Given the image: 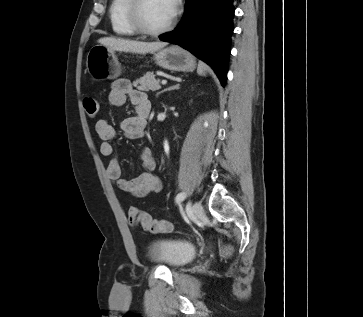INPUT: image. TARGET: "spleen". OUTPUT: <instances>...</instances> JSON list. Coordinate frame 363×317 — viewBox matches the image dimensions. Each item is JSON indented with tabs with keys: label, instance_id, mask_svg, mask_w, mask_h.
Masks as SVG:
<instances>
[{
	"label": "spleen",
	"instance_id": "obj_1",
	"mask_svg": "<svg viewBox=\"0 0 363 317\" xmlns=\"http://www.w3.org/2000/svg\"><path fill=\"white\" fill-rule=\"evenodd\" d=\"M207 69V66L203 63V62H199L198 64V68H197V73L201 76L205 75V71Z\"/></svg>",
	"mask_w": 363,
	"mask_h": 317
}]
</instances>
